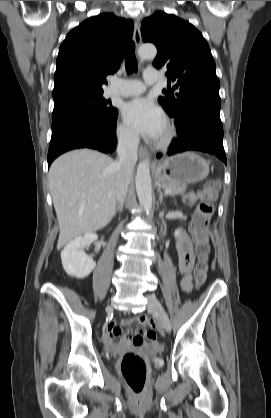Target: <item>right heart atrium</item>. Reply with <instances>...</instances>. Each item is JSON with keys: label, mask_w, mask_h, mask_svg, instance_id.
<instances>
[{"label": "right heart atrium", "mask_w": 271, "mask_h": 418, "mask_svg": "<svg viewBox=\"0 0 271 418\" xmlns=\"http://www.w3.org/2000/svg\"><path fill=\"white\" fill-rule=\"evenodd\" d=\"M119 144L127 150H133L137 147V135L124 123H119L116 129Z\"/></svg>", "instance_id": "d8ad5b80"}]
</instances>
